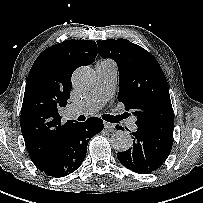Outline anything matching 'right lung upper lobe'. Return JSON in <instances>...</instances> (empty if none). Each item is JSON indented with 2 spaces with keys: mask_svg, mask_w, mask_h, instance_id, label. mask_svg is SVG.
Here are the masks:
<instances>
[{
  "mask_svg": "<svg viewBox=\"0 0 203 203\" xmlns=\"http://www.w3.org/2000/svg\"><path fill=\"white\" fill-rule=\"evenodd\" d=\"M96 55L94 41L71 39L45 49L35 60L26 82L21 130L36 167L50 161L68 127L76 122L62 124L58 110L67 105L74 70L91 64Z\"/></svg>",
  "mask_w": 203,
  "mask_h": 203,
  "instance_id": "cb5924a9",
  "label": "right lung upper lobe"
}]
</instances>
